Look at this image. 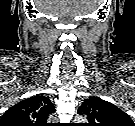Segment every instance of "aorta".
Wrapping results in <instances>:
<instances>
[{
	"instance_id": "obj_1",
	"label": "aorta",
	"mask_w": 135,
	"mask_h": 126,
	"mask_svg": "<svg viewBox=\"0 0 135 126\" xmlns=\"http://www.w3.org/2000/svg\"><path fill=\"white\" fill-rule=\"evenodd\" d=\"M75 121H77L78 123L79 122H85L86 121V118L85 117H82V116H78L75 118Z\"/></svg>"
}]
</instances>
